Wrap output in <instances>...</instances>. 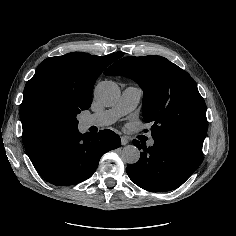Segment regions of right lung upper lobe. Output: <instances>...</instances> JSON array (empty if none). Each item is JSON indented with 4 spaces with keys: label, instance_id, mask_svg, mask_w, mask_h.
I'll return each mask as SVG.
<instances>
[{
    "label": "right lung upper lobe",
    "instance_id": "right-lung-upper-lobe-1",
    "mask_svg": "<svg viewBox=\"0 0 236 236\" xmlns=\"http://www.w3.org/2000/svg\"><path fill=\"white\" fill-rule=\"evenodd\" d=\"M121 56L122 54L96 56L88 53H68L47 58L40 63L34 76L27 82L24 95L39 83H49L70 91L81 102L91 105L96 79L109 64ZM52 142L33 144L23 136L24 147L31 161Z\"/></svg>",
    "mask_w": 236,
    "mask_h": 236
}]
</instances>
